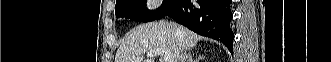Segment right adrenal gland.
Wrapping results in <instances>:
<instances>
[{
    "label": "right adrenal gland",
    "mask_w": 331,
    "mask_h": 62,
    "mask_svg": "<svg viewBox=\"0 0 331 62\" xmlns=\"http://www.w3.org/2000/svg\"><path fill=\"white\" fill-rule=\"evenodd\" d=\"M204 56L199 55L195 60H193V56L191 53L187 56V62H199V60L203 59Z\"/></svg>",
    "instance_id": "right-adrenal-gland-1"
}]
</instances>
